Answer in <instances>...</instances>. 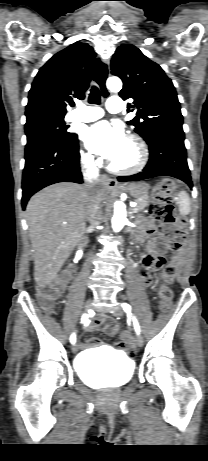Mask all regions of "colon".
Listing matches in <instances>:
<instances>
[{
  "label": "colon",
  "mask_w": 208,
  "mask_h": 461,
  "mask_svg": "<svg viewBox=\"0 0 208 461\" xmlns=\"http://www.w3.org/2000/svg\"><path fill=\"white\" fill-rule=\"evenodd\" d=\"M175 189V182L172 179L162 180L153 190L152 198L153 203L150 207L151 215L160 223L165 225L179 224L182 225L184 220L178 216L176 209L171 201V194ZM173 250H180L183 246V242H171ZM157 267H163L165 265V258L158 257L156 259ZM175 274V264L169 263L165 266L162 273L163 284L158 289V297L160 300V306L162 310L166 311L170 308L173 300V292L169 288L168 284L171 283ZM65 286V282L61 279L50 282L46 285L40 286L37 289V296L41 303L46 308H51L58 300L62 289ZM122 347L128 349L129 345L125 344L124 341L128 336L123 337L121 335ZM130 357L135 359L137 357V350L130 348L128 350Z\"/></svg>",
  "instance_id": "1"
}]
</instances>
